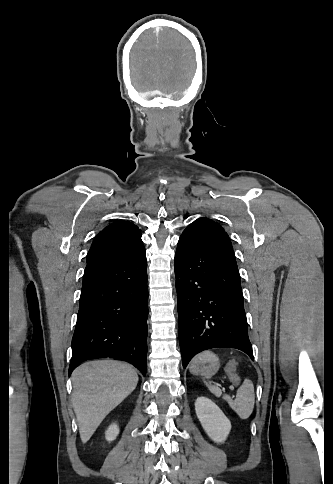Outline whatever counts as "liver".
I'll return each instance as SVG.
<instances>
[{
  "label": "liver",
  "instance_id": "obj_1",
  "mask_svg": "<svg viewBox=\"0 0 333 484\" xmlns=\"http://www.w3.org/2000/svg\"><path fill=\"white\" fill-rule=\"evenodd\" d=\"M73 408L80 438L86 443L103 419L136 388L132 366L114 360L86 362L72 373Z\"/></svg>",
  "mask_w": 333,
  "mask_h": 484
}]
</instances>
